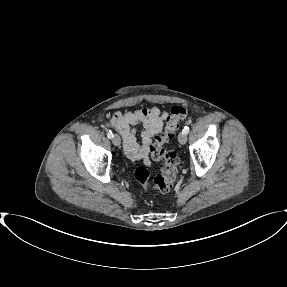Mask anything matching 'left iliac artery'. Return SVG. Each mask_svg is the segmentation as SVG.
Segmentation results:
<instances>
[{
	"mask_svg": "<svg viewBox=\"0 0 287 287\" xmlns=\"http://www.w3.org/2000/svg\"><path fill=\"white\" fill-rule=\"evenodd\" d=\"M183 133L188 134L189 133V127L185 126L184 129L182 130Z\"/></svg>",
	"mask_w": 287,
	"mask_h": 287,
	"instance_id": "1",
	"label": "left iliac artery"
}]
</instances>
